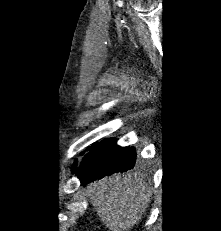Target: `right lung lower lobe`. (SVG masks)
Segmentation results:
<instances>
[{
	"mask_svg": "<svg viewBox=\"0 0 221 231\" xmlns=\"http://www.w3.org/2000/svg\"><path fill=\"white\" fill-rule=\"evenodd\" d=\"M135 162V148L120 147L116 144L115 138H110L93 144L79 169L77 170L75 163L72 171L78 172L81 185H86L95 179L130 170L135 166Z\"/></svg>",
	"mask_w": 221,
	"mask_h": 231,
	"instance_id": "right-lung-lower-lobe-1",
	"label": "right lung lower lobe"
}]
</instances>
